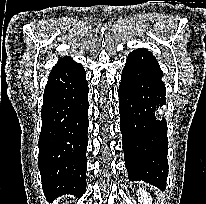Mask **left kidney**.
Here are the masks:
<instances>
[{"instance_id": "5707ae66", "label": "left kidney", "mask_w": 206, "mask_h": 204, "mask_svg": "<svg viewBox=\"0 0 206 204\" xmlns=\"http://www.w3.org/2000/svg\"><path fill=\"white\" fill-rule=\"evenodd\" d=\"M137 195L140 197L138 198L139 204H152V199L150 194L144 188H139L137 191Z\"/></svg>"}]
</instances>
